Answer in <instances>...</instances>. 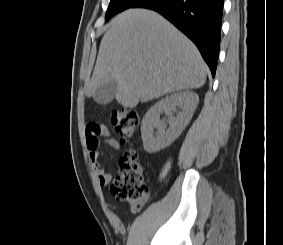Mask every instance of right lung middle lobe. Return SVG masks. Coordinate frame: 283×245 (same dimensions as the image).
Returning a JSON list of instances; mask_svg holds the SVG:
<instances>
[{"label":"right lung middle lobe","instance_id":"obj_1","mask_svg":"<svg viewBox=\"0 0 283 245\" xmlns=\"http://www.w3.org/2000/svg\"><path fill=\"white\" fill-rule=\"evenodd\" d=\"M139 1L140 0H110V4L105 15L106 21H108L115 14L133 7Z\"/></svg>","mask_w":283,"mask_h":245}]
</instances>
